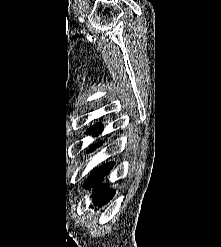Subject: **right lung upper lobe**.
I'll return each mask as SVG.
<instances>
[{
	"label": "right lung upper lobe",
	"mask_w": 221,
	"mask_h": 247,
	"mask_svg": "<svg viewBox=\"0 0 221 247\" xmlns=\"http://www.w3.org/2000/svg\"><path fill=\"white\" fill-rule=\"evenodd\" d=\"M98 126H102V124L99 123V124L93 125L92 127H90V129L95 128V127H98Z\"/></svg>",
	"instance_id": "cb5924a9"
}]
</instances>
